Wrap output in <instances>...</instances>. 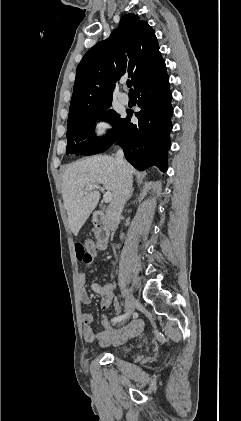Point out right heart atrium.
<instances>
[{
    "mask_svg": "<svg viewBox=\"0 0 241 421\" xmlns=\"http://www.w3.org/2000/svg\"><path fill=\"white\" fill-rule=\"evenodd\" d=\"M112 134V125L107 118L95 120L91 127V138L96 143L105 142Z\"/></svg>",
    "mask_w": 241,
    "mask_h": 421,
    "instance_id": "right-heart-atrium-1",
    "label": "right heart atrium"
}]
</instances>
